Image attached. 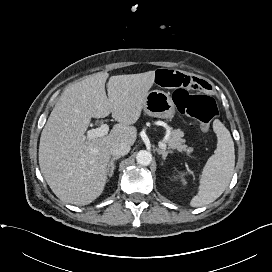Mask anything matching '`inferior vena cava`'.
I'll return each mask as SVG.
<instances>
[{
  "mask_svg": "<svg viewBox=\"0 0 272 272\" xmlns=\"http://www.w3.org/2000/svg\"><path fill=\"white\" fill-rule=\"evenodd\" d=\"M110 151L113 156H124L129 153L130 145L124 142L116 143L111 147Z\"/></svg>",
  "mask_w": 272,
  "mask_h": 272,
  "instance_id": "1",
  "label": "inferior vena cava"
}]
</instances>
